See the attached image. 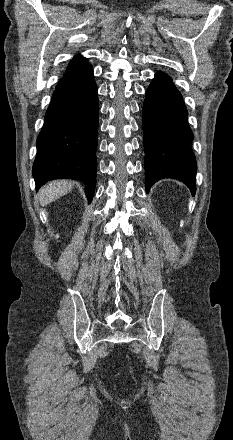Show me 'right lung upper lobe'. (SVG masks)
I'll return each mask as SVG.
<instances>
[{"mask_svg": "<svg viewBox=\"0 0 233 440\" xmlns=\"http://www.w3.org/2000/svg\"><path fill=\"white\" fill-rule=\"evenodd\" d=\"M89 66H91V65L88 63V61L84 57L77 56L69 64V66L65 72V75L75 73V72L80 71V70L87 68Z\"/></svg>", "mask_w": 233, "mask_h": 440, "instance_id": "cb5924a9", "label": "right lung upper lobe"}]
</instances>
